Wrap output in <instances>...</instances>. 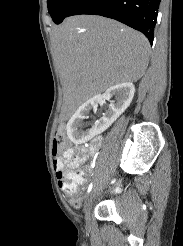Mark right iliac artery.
<instances>
[{
  "label": "right iliac artery",
  "mask_w": 183,
  "mask_h": 246,
  "mask_svg": "<svg viewBox=\"0 0 183 246\" xmlns=\"http://www.w3.org/2000/svg\"><path fill=\"white\" fill-rule=\"evenodd\" d=\"M92 186H93V184L91 183V184L89 185V187H88V190H87L88 193L91 191Z\"/></svg>",
  "instance_id": "obj_1"
}]
</instances>
